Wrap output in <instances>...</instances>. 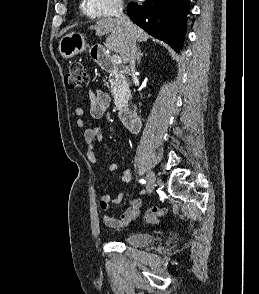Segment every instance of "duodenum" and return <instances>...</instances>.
I'll list each match as a JSON object with an SVG mask.
<instances>
[{"instance_id":"410a0bca","label":"duodenum","mask_w":259,"mask_h":294,"mask_svg":"<svg viewBox=\"0 0 259 294\" xmlns=\"http://www.w3.org/2000/svg\"><path fill=\"white\" fill-rule=\"evenodd\" d=\"M94 58L103 69L107 71H117L116 65L105 52L101 51L95 54ZM119 117L121 122L130 130L136 132L140 129L141 119L135 109L122 108L119 112Z\"/></svg>"}]
</instances>
